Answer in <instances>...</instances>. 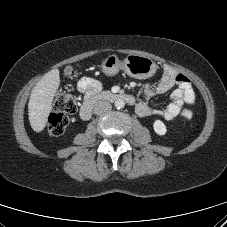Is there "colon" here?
I'll use <instances>...</instances> for the list:
<instances>
[{"label":"colon","mask_w":227,"mask_h":227,"mask_svg":"<svg viewBox=\"0 0 227 227\" xmlns=\"http://www.w3.org/2000/svg\"><path fill=\"white\" fill-rule=\"evenodd\" d=\"M77 109L76 97L66 93L58 92L54 99V112L47 121V131L50 135H61L68 125V115Z\"/></svg>","instance_id":"1"}]
</instances>
